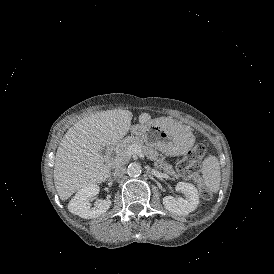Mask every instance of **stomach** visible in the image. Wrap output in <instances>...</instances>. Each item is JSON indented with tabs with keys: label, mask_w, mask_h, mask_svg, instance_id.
I'll return each instance as SVG.
<instances>
[{
	"label": "stomach",
	"mask_w": 274,
	"mask_h": 274,
	"mask_svg": "<svg viewBox=\"0 0 274 274\" xmlns=\"http://www.w3.org/2000/svg\"><path fill=\"white\" fill-rule=\"evenodd\" d=\"M177 123L172 118L160 117L146 124L133 125L131 133L167 156H179L192 147L193 134L190 130L176 133Z\"/></svg>",
	"instance_id": "0dacf381"
}]
</instances>
